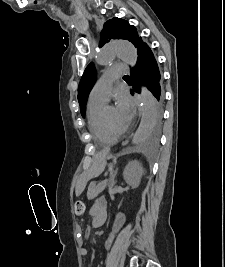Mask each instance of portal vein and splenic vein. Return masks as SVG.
<instances>
[{
  "instance_id": "portal-vein-and-splenic-vein-1",
  "label": "portal vein and splenic vein",
  "mask_w": 225,
  "mask_h": 267,
  "mask_svg": "<svg viewBox=\"0 0 225 267\" xmlns=\"http://www.w3.org/2000/svg\"><path fill=\"white\" fill-rule=\"evenodd\" d=\"M102 184H106L107 183V180H104L103 182H101Z\"/></svg>"
}]
</instances>
